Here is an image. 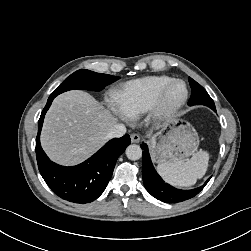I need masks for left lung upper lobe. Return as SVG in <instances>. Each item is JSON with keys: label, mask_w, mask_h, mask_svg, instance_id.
Listing matches in <instances>:
<instances>
[{"label": "left lung upper lobe", "mask_w": 251, "mask_h": 251, "mask_svg": "<svg viewBox=\"0 0 251 251\" xmlns=\"http://www.w3.org/2000/svg\"><path fill=\"white\" fill-rule=\"evenodd\" d=\"M189 83L191 86V98L189 100V106L202 104L208 106L211 109H215V104L206 90L198 84L195 80L189 77Z\"/></svg>", "instance_id": "obj_1"}]
</instances>
